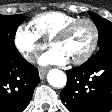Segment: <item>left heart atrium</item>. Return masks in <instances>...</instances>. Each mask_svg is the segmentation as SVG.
Returning <instances> with one entry per match:
<instances>
[{
	"instance_id": "1",
	"label": "left heart atrium",
	"mask_w": 112,
	"mask_h": 112,
	"mask_svg": "<svg viewBox=\"0 0 112 112\" xmlns=\"http://www.w3.org/2000/svg\"><path fill=\"white\" fill-rule=\"evenodd\" d=\"M68 61V58L57 49H53L39 58L41 65H64Z\"/></svg>"
}]
</instances>
